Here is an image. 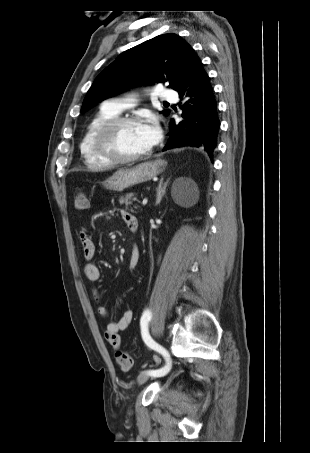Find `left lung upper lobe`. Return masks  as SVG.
I'll return each instance as SVG.
<instances>
[{
    "label": "left lung upper lobe",
    "instance_id": "left-lung-upper-lobe-1",
    "mask_svg": "<svg viewBox=\"0 0 310 453\" xmlns=\"http://www.w3.org/2000/svg\"><path fill=\"white\" fill-rule=\"evenodd\" d=\"M192 47L176 34H163L121 53L94 80L81 108L87 111L95 103L140 84L168 82L174 89L182 79ZM169 114V110L162 111Z\"/></svg>",
    "mask_w": 310,
    "mask_h": 453
}]
</instances>
